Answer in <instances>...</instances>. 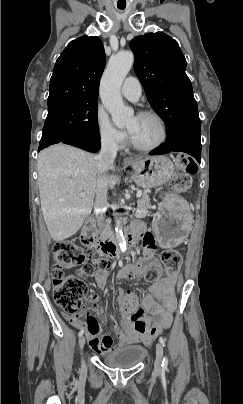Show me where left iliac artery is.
Wrapping results in <instances>:
<instances>
[{
  "label": "left iliac artery",
  "mask_w": 243,
  "mask_h": 404,
  "mask_svg": "<svg viewBox=\"0 0 243 404\" xmlns=\"http://www.w3.org/2000/svg\"><path fill=\"white\" fill-rule=\"evenodd\" d=\"M159 341H160V343H161L163 346H165V340H164L163 337H160V338H159ZM167 365H168V358H167V357H164V359H163V361H162V367L166 369V368H167Z\"/></svg>",
  "instance_id": "left-iliac-artery-1"
}]
</instances>
